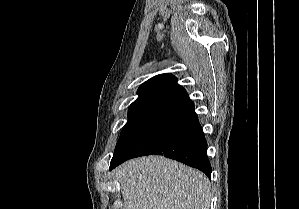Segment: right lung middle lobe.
Listing matches in <instances>:
<instances>
[{
	"mask_svg": "<svg viewBox=\"0 0 299 209\" xmlns=\"http://www.w3.org/2000/svg\"><path fill=\"white\" fill-rule=\"evenodd\" d=\"M158 107L156 104L143 103L131 105L128 110V122L123 128L116 145L113 158L121 151L126 143L142 127L153 111Z\"/></svg>",
	"mask_w": 299,
	"mask_h": 209,
	"instance_id": "1",
	"label": "right lung middle lobe"
}]
</instances>
